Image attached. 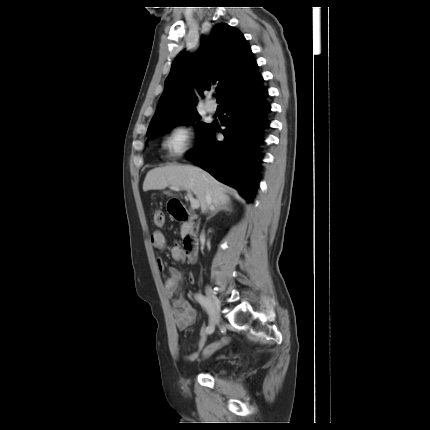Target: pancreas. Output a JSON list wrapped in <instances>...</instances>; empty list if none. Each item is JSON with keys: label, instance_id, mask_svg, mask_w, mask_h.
Instances as JSON below:
<instances>
[{"label": "pancreas", "instance_id": "obj_1", "mask_svg": "<svg viewBox=\"0 0 430 430\" xmlns=\"http://www.w3.org/2000/svg\"><path fill=\"white\" fill-rule=\"evenodd\" d=\"M185 231H186V226H182V228H181V234L183 235L185 233Z\"/></svg>", "mask_w": 430, "mask_h": 430}]
</instances>
